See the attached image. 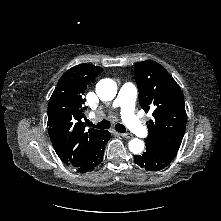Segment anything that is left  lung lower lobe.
<instances>
[{
    "mask_svg": "<svg viewBox=\"0 0 221 221\" xmlns=\"http://www.w3.org/2000/svg\"><path fill=\"white\" fill-rule=\"evenodd\" d=\"M134 162L148 171H159L165 168L171 160L150 148H146V151L142 155L134 157Z\"/></svg>",
    "mask_w": 221,
    "mask_h": 221,
    "instance_id": "0a47b994",
    "label": "left lung lower lobe"
}]
</instances>
